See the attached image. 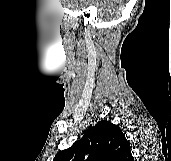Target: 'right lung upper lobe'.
<instances>
[{"mask_svg": "<svg viewBox=\"0 0 171 161\" xmlns=\"http://www.w3.org/2000/svg\"><path fill=\"white\" fill-rule=\"evenodd\" d=\"M53 161H134L130 144L119 126L101 120Z\"/></svg>", "mask_w": 171, "mask_h": 161, "instance_id": "1", "label": "right lung upper lobe"}]
</instances>
